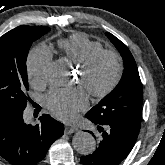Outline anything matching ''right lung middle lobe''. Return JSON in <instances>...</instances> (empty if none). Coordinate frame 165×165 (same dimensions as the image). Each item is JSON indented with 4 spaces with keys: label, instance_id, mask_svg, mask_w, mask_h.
<instances>
[{
    "label": "right lung middle lobe",
    "instance_id": "right-lung-middle-lobe-1",
    "mask_svg": "<svg viewBox=\"0 0 165 165\" xmlns=\"http://www.w3.org/2000/svg\"><path fill=\"white\" fill-rule=\"evenodd\" d=\"M49 27L19 26L0 37V114L23 111L28 77L26 59L33 41Z\"/></svg>",
    "mask_w": 165,
    "mask_h": 165
}]
</instances>
